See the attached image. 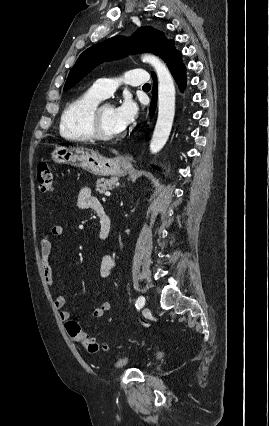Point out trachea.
Instances as JSON below:
<instances>
[{"label": "trachea", "mask_w": 269, "mask_h": 426, "mask_svg": "<svg viewBox=\"0 0 269 426\" xmlns=\"http://www.w3.org/2000/svg\"><path fill=\"white\" fill-rule=\"evenodd\" d=\"M151 86H150V84H144L143 85V88H150Z\"/></svg>", "instance_id": "trachea-1"}]
</instances>
